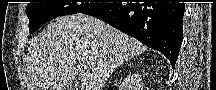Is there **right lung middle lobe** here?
Segmentation results:
<instances>
[{"label":"right lung middle lobe","mask_w":216,"mask_h":90,"mask_svg":"<svg viewBox=\"0 0 216 90\" xmlns=\"http://www.w3.org/2000/svg\"><path fill=\"white\" fill-rule=\"evenodd\" d=\"M103 4L105 3H29L26 8V15L29 18L30 33L59 16L82 13Z\"/></svg>","instance_id":"dd1d6c3e"}]
</instances>
